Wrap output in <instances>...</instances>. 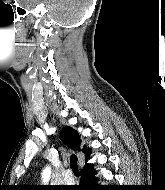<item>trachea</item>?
<instances>
[{"instance_id": "1", "label": "trachea", "mask_w": 165, "mask_h": 190, "mask_svg": "<svg viewBox=\"0 0 165 190\" xmlns=\"http://www.w3.org/2000/svg\"><path fill=\"white\" fill-rule=\"evenodd\" d=\"M70 167L75 176L80 175L79 169H78L77 157L75 155H71L70 157Z\"/></svg>"}]
</instances>
